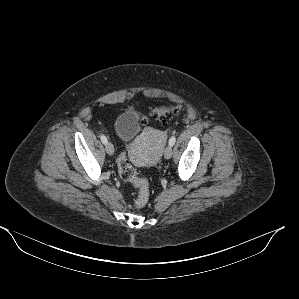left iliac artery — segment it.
Segmentation results:
<instances>
[{"instance_id": "left-iliac-artery-1", "label": "left iliac artery", "mask_w": 299, "mask_h": 299, "mask_svg": "<svg viewBox=\"0 0 299 299\" xmlns=\"http://www.w3.org/2000/svg\"><path fill=\"white\" fill-rule=\"evenodd\" d=\"M175 141H176V138L174 136H172L170 139H169V145L173 146L175 144Z\"/></svg>"}]
</instances>
